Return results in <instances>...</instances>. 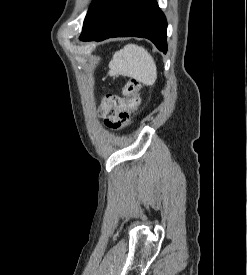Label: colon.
Masks as SVG:
<instances>
[{"label":"colon","mask_w":247,"mask_h":275,"mask_svg":"<svg viewBox=\"0 0 247 275\" xmlns=\"http://www.w3.org/2000/svg\"><path fill=\"white\" fill-rule=\"evenodd\" d=\"M140 103V83L131 79L123 88V97L109 94L103 99L105 124L118 129L132 125V114Z\"/></svg>","instance_id":"obj_1"}]
</instances>
